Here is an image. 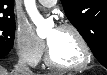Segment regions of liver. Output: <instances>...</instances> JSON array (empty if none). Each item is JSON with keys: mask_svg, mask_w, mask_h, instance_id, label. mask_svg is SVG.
Listing matches in <instances>:
<instances>
[{"mask_svg": "<svg viewBox=\"0 0 107 75\" xmlns=\"http://www.w3.org/2000/svg\"><path fill=\"white\" fill-rule=\"evenodd\" d=\"M0 75H9L7 70H5L3 67L0 68ZM14 75V74H11Z\"/></svg>", "mask_w": 107, "mask_h": 75, "instance_id": "1", "label": "liver"}]
</instances>
